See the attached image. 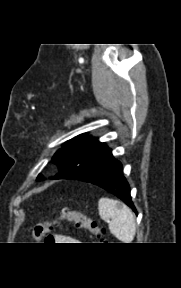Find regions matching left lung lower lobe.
<instances>
[{"instance_id": "left-lung-lower-lobe-1", "label": "left lung lower lobe", "mask_w": 181, "mask_h": 288, "mask_svg": "<svg viewBox=\"0 0 181 288\" xmlns=\"http://www.w3.org/2000/svg\"><path fill=\"white\" fill-rule=\"evenodd\" d=\"M122 170V164L111 156L92 173L80 180L95 184L114 194L137 214L136 208L131 200L129 184L123 176Z\"/></svg>"}]
</instances>
